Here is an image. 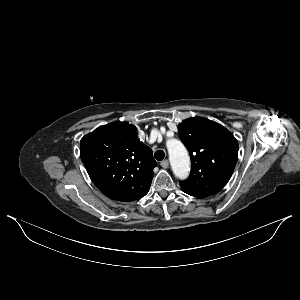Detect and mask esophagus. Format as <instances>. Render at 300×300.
Instances as JSON below:
<instances>
[{
  "label": "esophagus",
  "instance_id": "34e87169",
  "mask_svg": "<svg viewBox=\"0 0 300 300\" xmlns=\"http://www.w3.org/2000/svg\"><path fill=\"white\" fill-rule=\"evenodd\" d=\"M160 165L163 167V168H168L169 166V161L167 159L163 160L160 162Z\"/></svg>",
  "mask_w": 300,
  "mask_h": 300
}]
</instances>
